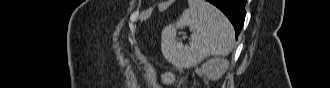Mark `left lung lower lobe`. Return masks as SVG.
I'll return each mask as SVG.
<instances>
[{"mask_svg": "<svg viewBox=\"0 0 330 88\" xmlns=\"http://www.w3.org/2000/svg\"><path fill=\"white\" fill-rule=\"evenodd\" d=\"M218 7L231 21L238 37L245 19L246 0H207Z\"/></svg>", "mask_w": 330, "mask_h": 88, "instance_id": "0a47b994", "label": "left lung lower lobe"}]
</instances>
